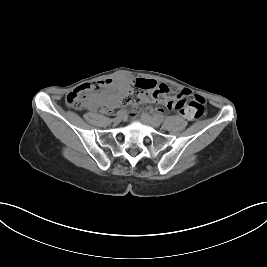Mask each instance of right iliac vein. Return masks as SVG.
<instances>
[{
    "mask_svg": "<svg viewBox=\"0 0 267 267\" xmlns=\"http://www.w3.org/2000/svg\"><path fill=\"white\" fill-rule=\"evenodd\" d=\"M122 117H123L122 115H117V116L113 119V122L116 123V124L120 123L121 120H122Z\"/></svg>",
    "mask_w": 267,
    "mask_h": 267,
    "instance_id": "1",
    "label": "right iliac vein"
}]
</instances>
